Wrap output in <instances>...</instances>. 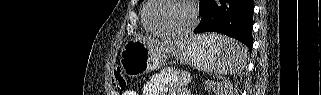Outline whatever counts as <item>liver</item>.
<instances>
[{"label":"liver","mask_w":321,"mask_h":95,"mask_svg":"<svg viewBox=\"0 0 321 95\" xmlns=\"http://www.w3.org/2000/svg\"><path fill=\"white\" fill-rule=\"evenodd\" d=\"M136 40L141 41L145 45H147L150 49L155 50L160 53L169 54L176 50H179L181 46L185 43L184 40H173V41H165L161 42L158 40L138 36L135 38Z\"/></svg>","instance_id":"1"}]
</instances>
